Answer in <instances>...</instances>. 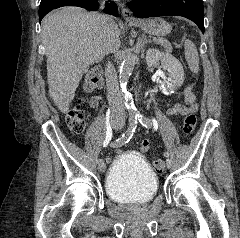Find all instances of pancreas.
Here are the masks:
<instances>
[{"mask_svg": "<svg viewBox=\"0 0 240 238\" xmlns=\"http://www.w3.org/2000/svg\"><path fill=\"white\" fill-rule=\"evenodd\" d=\"M156 43H158V44H160L161 46H163V47L167 50V52H172V50H173L172 45H171L170 42H169L168 40H166V39L160 38V39H158V40L156 41Z\"/></svg>", "mask_w": 240, "mask_h": 238, "instance_id": "obj_1", "label": "pancreas"}]
</instances>
